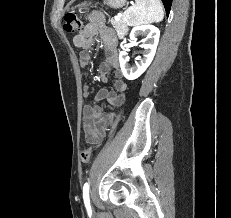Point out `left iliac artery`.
<instances>
[{"label": "left iliac artery", "mask_w": 231, "mask_h": 218, "mask_svg": "<svg viewBox=\"0 0 231 218\" xmlns=\"http://www.w3.org/2000/svg\"><path fill=\"white\" fill-rule=\"evenodd\" d=\"M83 199L85 206L87 208V211L91 212V206H90V199H89V185L88 183H85L83 186Z\"/></svg>", "instance_id": "left-iliac-artery-1"}]
</instances>
